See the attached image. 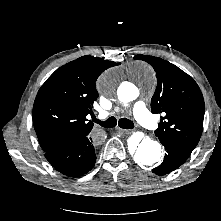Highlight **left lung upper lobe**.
Masks as SVG:
<instances>
[{
  "label": "left lung upper lobe",
  "instance_id": "left-lung-upper-lobe-1",
  "mask_svg": "<svg viewBox=\"0 0 221 221\" xmlns=\"http://www.w3.org/2000/svg\"><path fill=\"white\" fill-rule=\"evenodd\" d=\"M148 62L157 75L151 100L154 114L163 113L155 135L160 142H172L194 149L203 130L205 105L197 83L177 66L153 56L136 55Z\"/></svg>",
  "mask_w": 221,
  "mask_h": 221
}]
</instances>
